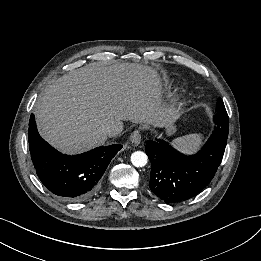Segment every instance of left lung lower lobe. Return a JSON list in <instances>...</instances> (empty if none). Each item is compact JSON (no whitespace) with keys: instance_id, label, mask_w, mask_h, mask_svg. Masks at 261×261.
<instances>
[{"instance_id":"1","label":"left lung lower lobe","mask_w":261,"mask_h":261,"mask_svg":"<svg viewBox=\"0 0 261 261\" xmlns=\"http://www.w3.org/2000/svg\"><path fill=\"white\" fill-rule=\"evenodd\" d=\"M214 132L195 155L186 156L162 140H148L146 154L151 162L149 187L166 203L189 200L214 177L224 155L228 120L214 116Z\"/></svg>"}]
</instances>
